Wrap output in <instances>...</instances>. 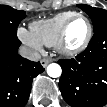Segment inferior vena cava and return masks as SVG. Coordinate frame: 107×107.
I'll list each match as a JSON object with an SVG mask.
<instances>
[{
    "label": "inferior vena cava",
    "mask_w": 107,
    "mask_h": 107,
    "mask_svg": "<svg viewBox=\"0 0 107 107\" xmlns=\"http://www.w3.org/2000/svg\"><path fill=\"white\" fill-rule=\"evenodd\" d=\"M19 54L22 57L27 58L31 61H39L41 58V55L37 51H35L31 48H28L26 46H21L19 48Z\"/></svg>",
    "instance_id": "1"
}]
</instances>
